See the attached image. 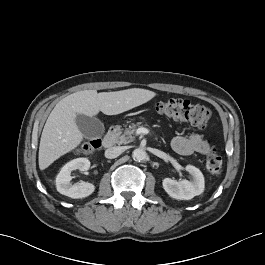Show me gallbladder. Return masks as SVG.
Here are the masks:
<instances>
[{
    "label": "gallbladder",
    "mask_w": 265,
    "mask_h": 265,
    "mask_svg": "<svg viewBox=\"0 0 265 265\" xmlns=\"http://www.w3.org/2000/svg\"><path fill=\"white\" fill-rule=\"evenodd\" d=\"M75 121L85 138L98 137L104 132V124L96 117L77 114Z\"/></svg>",
    "instance_id": "gallbladder-1"
}]
</instances>
